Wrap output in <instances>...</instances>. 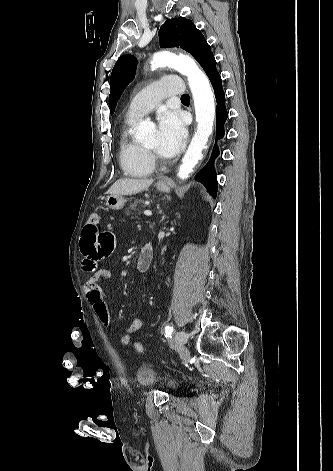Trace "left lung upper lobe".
Masks as SVG:
<instances>
[{"label":"left lung upper lobe","mask_w":333,"mask_h":471,"mask_svg":"<svg viewBox=\"0 0 333 471\" xmlns=\"http://www.w3.org/2000/svg\"><path fill=\"white\" fill-rule=\"evenodd\" d=\"M161 48L180 47L189 52L200 65L213 54L202 33L191 20L184 17L167 20L159 30ZM136 59L131 55L121 56L111 73V92L109 108L114 113L117 101L124 88L132 81L135 74Z\"/></svg>","instance_id":"left-lung-upper-lobe-1"}]
</instances>
